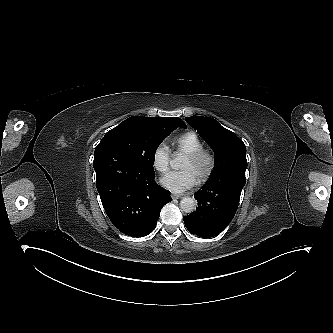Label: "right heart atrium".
Here are the masks:
<instances>
[{"mask_svg": "<svg viewBox=\"0 0 333 333\" xmlns=\"http://www.w3.org/2000/svg\"><path fill=\"white\" fill-rule=\"evenodd\" d=\"M172 164V159L167 148L159 146L154 155V166L158 171H167Z\"/></svg>", "mask_w": 333, "mask_h": 333, "instance_id": "1", "label": "right heart atrium"}]
</instances>
